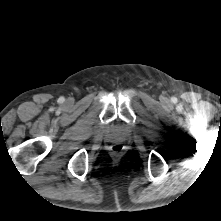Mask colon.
I'll use <instances>...</instances> for the list:
<instances>
[{"label":"colon","instance_id":"colon-1","mask_svg":"<svg viewBox=\"0 0 221 221\" xmlns=\"http://www.w3.org/2000/svg\"><path fill=\"white\" fill-rule=\"evenodd\" d=\"M111 150H112L113 153H120L123 150V145H121V144H114L111 147Z\"/></svg>","mask_w":221,"mask_h":221}]
</instances>
